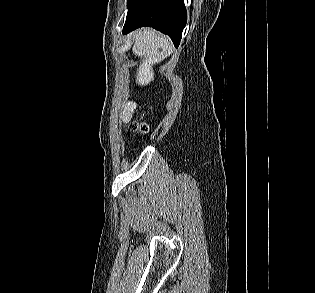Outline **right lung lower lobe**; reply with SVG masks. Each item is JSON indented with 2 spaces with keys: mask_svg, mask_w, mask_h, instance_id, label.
Returning a JSON list of instances; mask_svg holds the SVG:
<instances>
[{
  "mask_svg": "<svg viewBox=\"0 0 315 293\" xmlns=\"http://www.w3.org/2000/svg\"><path fill=\"white\" fill-rule=\"evenodd\" d=\"M124 33L149 26L171 37L177 47L186 25L183 0H129Z\"/></svg>",
  "mask_w": 315,
  "mask_h": 293,
  "instance_id": "right-lung-lower-lobe-1",
  "label": "right lung lower lobe"
}]
</instances>
